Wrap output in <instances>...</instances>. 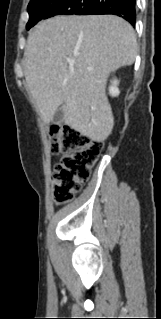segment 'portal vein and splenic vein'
<instances>
[{
  "mask_svg": "<svg viewBox=\"0 0 161 319\" xmlns=\"http://www.w3.org/2000/svg\"><path fill=\"white\" fill-rule=\"evenodd\" d=\"M68 62H69L70 64H72V63L74 62V60L68 59Z\"/></svg>",
  "mask_w": 161,
  "mask_h": 319,
  "instance_id": "1",
  "label": "portal vein and splenic vein"
}]
</instances>
